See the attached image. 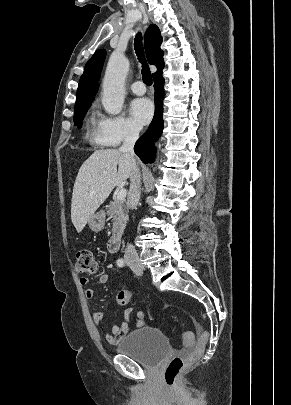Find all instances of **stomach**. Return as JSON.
Here are the masks:
<instances>
[{"instance_id":"stomach-1","label":"stomach","mask_w":291,"mask_h":405,"mask_svg":"<svg viewBox=\"0 0 291 405\" xmlns=\"http://www.w3.org/2000/svg\"><path fill=\"white\" fill-rule=\"evenodd\" d=\"M104 225H105L104 211L94 213L88 220V226L94 232L101 231L104 228Z\"/></svg>"}]
</instances>
